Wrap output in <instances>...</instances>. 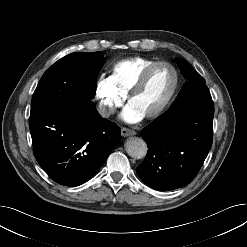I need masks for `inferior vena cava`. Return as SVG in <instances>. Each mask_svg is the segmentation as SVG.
Masks as SVG:
<instances>
[{
	"instance_id": "1",
	"label": "inferior vena cava",
	"mask_w": 247,
	"mask_h": 247,
	"mask_svg": "<svg viewBox=\"0 0 247 247\" xmlns=\"http://www.w3.org/2000/svg\"><path fill=\"white\" fill-rule=\"evenodd\" d=\"M113 113H114V110L111 109V108L102 107V108H100V110H99V114H100L102 117H105V118L109 117V116H110L111 114H113Z\"/></svg>"
}]
</instances>
